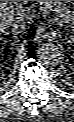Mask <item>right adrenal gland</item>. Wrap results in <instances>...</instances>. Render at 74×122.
Returning <instances> with one entry per match:
<instances>
[{
	"instance_id": "2a0ac1e0",
	"label": "right adrenal gland",
	"mask_w": 74,
	"mask_h": 122,
	"mask_svg": "<svg viewBox=\"0 0 74 122\" xmlns=\"http://www.w3.org/2000/svg\"><path fill=\"white\" fill-rule=\"evenodd\" d=\"M9 34L18 35V34H22V33L20 31H15L14 29H12L10 32H5V35H9Z\"/></svg>"
}]
</instances>
